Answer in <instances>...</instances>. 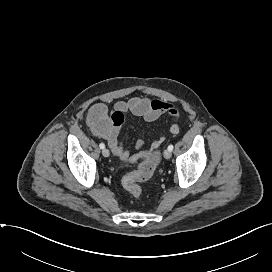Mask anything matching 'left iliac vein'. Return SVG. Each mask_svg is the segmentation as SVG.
I'll list each match as a JSON object with an SVG mask.
<instances>
[{
	"mask_svg": "<svg viewBox=\"0 0 272 272\" xmlns=\"http://www.w3.org/2000/svg\"><path fill=\"white\" fill-rule=\"evenodd\" d=\"M163 155H164L165 159H170L171 158V151L166 149V150H164Z\"/></svg>",
	"mask_w": 272,
	"mask_h": 272,
	"instance_id": "1",
	"label": "left iliac vein"
}]
</instances>
